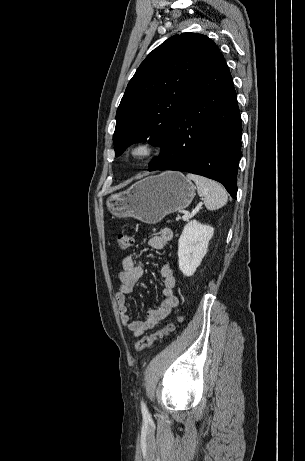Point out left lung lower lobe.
Segmentation results:
<instances>
[{
  "mask_svg": "<svg viewBox=\"0 0 305 461\" xmlns=\"http://www.w3.org/2000/svg\"><path fill=\"white\" fill-rule=\"evenodd\" d=\"M241 137L236 92L221 54L172 121L163 151L148 170L202 175L221 182L236 198Z\"/></svg>",
  "mask_w": 305,
  "mask_h": 461,
  "instance_id": "1",
  "label": "left lung lower lobe"
}]
</instances>
